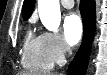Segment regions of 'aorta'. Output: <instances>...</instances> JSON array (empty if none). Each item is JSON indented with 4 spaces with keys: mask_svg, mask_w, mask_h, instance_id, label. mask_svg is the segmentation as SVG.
<instances>
[{
    "mask_svg": "<svg viewBox=\"0 0 107 75\" xmlns=\"http://www.w3.org/2000/svg\"><path fill=\"white\" fill-rule=\"evenodd\" d=\"M38 11L44 27L57 32L61 21L59 0H38Z\"/></svg>",
    "mask_w": 107,
    "mask_h": 75,
    "instance_id": "1",
    "label": "aorta"
}]
</instances>
